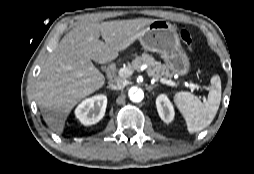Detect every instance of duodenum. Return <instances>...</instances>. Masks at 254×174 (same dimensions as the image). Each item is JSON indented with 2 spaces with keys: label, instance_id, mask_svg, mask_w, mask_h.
<instances>
[{
  "label": "duodenum",
  "instance_id": "obj_1",
  "mask_svg": "<svg viewBox=\"0 0 254 174\" xmlns=\"http://www.w3.org/2000/svg\"><path fill=\"white\" fill-rule=\"evenodd\" d=\"M114 73H115V67L113 64H109V66L107 67V75L110 79H112L114 77Z\"/></svg>",
  "mask_w": 254,
  "mask_h": 174
}]
</instances>
